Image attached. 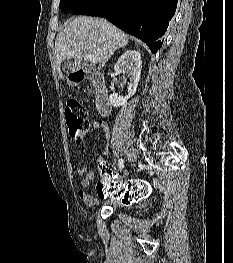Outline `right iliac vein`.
Here are the masks:
<instances>
[{"label":"right iliac vein","mask_w":233,"mask_h":263,"mask_svg":"<svg viewBox=\"0 0 233 263\" xmlns=\"http://www.w3.org/2000/svg\"><path fill=\"white\" fill-rule=\"evenodd\" d=\"M137 158V151L135 149H130L128 152V161L134 162Z\"/></svg>","instance_id":"1"}]
</instances>
